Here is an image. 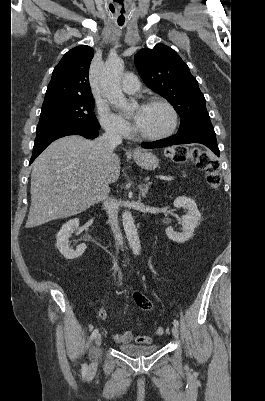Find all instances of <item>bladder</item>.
I'll list each match as a JSON object with an SVG mask.
<instances>
[{"label": "bladder", "mask_w": 265, "mask_h": 401, "mask_svg": "<svg viewBox=\"0 0 265 401\" xmlns=\"http://www.w3.org/2000/svg\"><path fill=\"white\" fill-rule=\"evenodd\" d=\"M159 349V344L157 345H147V346H138V345H121L119 350L130 354L132 356H148L154 351Z\"/></svg>", "instance_id": "obj_1"}]
</instances>
